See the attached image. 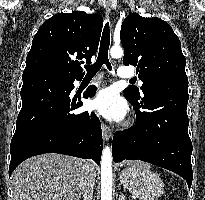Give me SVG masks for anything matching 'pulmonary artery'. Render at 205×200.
<instances>
[{
  "mask_svg": "<svg viewBox=\"0 0 205 200\" xmlns=\"http://www.w3.org/2000/svg\"><path fill=\"white\" fill-rule=\"evenodd\" d=\"M117 76L122 79L132 78L134 76V72L126 67H120L117 70ZM139 84H141V82H139Z\"/></svg>",
  "mask_w": 205,
  "mask_h": 200,
  "instance_id": "obj_1",
  "label": "pulmonary artery"
}]
</instances>
